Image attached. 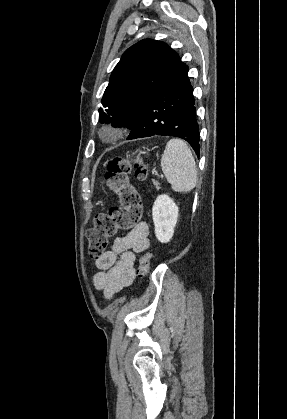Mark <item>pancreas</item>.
<instances>
[{"mask_svg": "<svg viewBox=\"0 0 287 419\" xmlns=\"http://www.w3.org/2000/svg\"><path fill=\"white\" fill-rule=\"evenodd\" d=\"M154 185L156 186V188H157V189H159V188H160V187H159V183H158V182H156V181H155V182H154Z\"/></svg>", "mask_w": 287, "mask_h": 419, "instance_id": "cf45deb5", "label": "pancreas"}]
</instances>
